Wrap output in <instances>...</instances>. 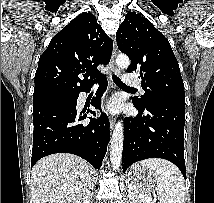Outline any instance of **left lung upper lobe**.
Wrapping results in <instances>:
<instances>
[{"label":"left lung upper lobe","mask_w":214,"mask_h":203,"mask_svg":"<svg viewBox=\"0 0 214 203\" xmlns=\"http://www.w3.org/2000/svg\"><path fill=\"white\" fill-rule=\"evenodd\" d=\"M118 49L131 64L127 72L139 73L144 95L135 97V107L145 109L152 103L185 105L184 84L179 64L170 43L141 14L129 12L116 33Z\"/></svg>","instance_id":"1"}]
</instances>
